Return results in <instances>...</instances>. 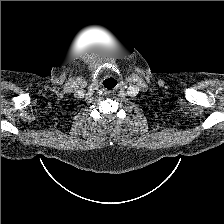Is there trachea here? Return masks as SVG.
Masks as SVG:
<instances>
[{
	"label": "trachea",
	"instance_id": "1",
	"mask_svg": "<svg viewBox=\"0 0 224 224\" xmlns=\"http://www.w3.org/2000/svg\"><path fill=\"white\" fill-rule=\"evenodd\" d=\"M117 81L114 78H108L104 81V87L107 89H112L117 85Z\"/></svg>",
	"mask_w": 224,
	"mask_h": 224
}]
</instances>
